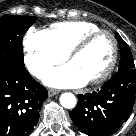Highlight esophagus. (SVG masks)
Masks as SVG:
<instances>
[{
    "label": "esophagus",
    "mask_w": 136,
    "mask_h": 136,
    "mask_svg": "<svg viewBox=\"0 0 136 136\" xmlns=\"http://www.w3.org/2000/svg\"><path fill=\"white\" fill-rule=\"evenodd\" d=\"M58 93H59V91H58V90H55V89H49V90H48L49 96H54V95H56V94H58Z\"/></svg>",
    "instance_id": "esophagus-1"
}]
</instances>
